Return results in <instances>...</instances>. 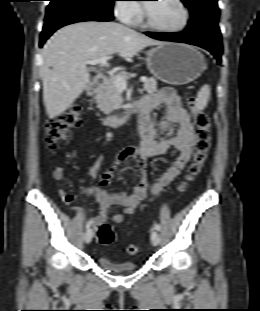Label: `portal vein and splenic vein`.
<instances>
[{
  "instance_id": "18ae733b",
  "label": "portal vein and splenic vein",
  "mask_w": 260,
  "mask_h": 311,
  "mask_svg": "<svg viewBox=\"0 0 260 311\" xmlns=\"http://www.w3.org/2000/svg\"><path fill=\"white\" fill-rule=\"evenodd\" d=\"M109 57L108 56H105V57H102L100 59H96V60H90V61H87L86 64H90V65H96V64H99L100 66L102 67H105L107 66V61H108ZM115 79V84L117 86V88L119 90H125L126 87H127V82L125 79H123L122 77L116 75L114 77ZM140 81L141 82H146L147 81V78L146 77H141L140 78Z\"/></svg>"
}]
</instances>
